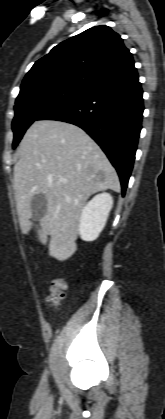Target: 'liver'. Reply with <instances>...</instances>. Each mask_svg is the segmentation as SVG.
<instances>
[{
  "label": "liver",
  "instance_id": "liver-1",
  "mask_svg": "<svg viewBox=\"0 0 165 419\" xmlns=\"http://www.w3.org/2000/svg\"><path fill=\"white\" fill-rule=\"evenodd\" d=\"M18 155L13 188L21 231L28 234L33 226L32 197L45 195L47 211L37 226L39 241L46 245L50 236V256L67 260L77 250L84 204L96 192L118 191L117 173L86 132L61 121L34 122L20 143Z\"/></svg>",
  "mask_w": 165,
  "mask_h": 419
}]
</instances>
